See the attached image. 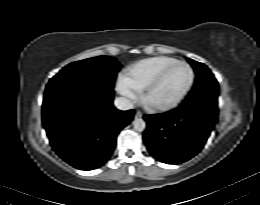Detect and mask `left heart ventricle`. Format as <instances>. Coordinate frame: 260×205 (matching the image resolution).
<instances>
[{
    "label": "left heart ventricle",
    "mask_w": 260,
    "mask_h": 205,
    "mask_svg": "<svg viewBox=\"0 0 260 205\" xmlns=\"http://www.w3.org/2000/svg\"><path fill=\"white\" fill-rule=\"evenodd\" d=\"M190 71L184 65L171 68L149 93L148 99L154 104H164L176 99L190 81Z\"/></svg>",
    "instance_id": "b2bd125f"
}]
</instances>
